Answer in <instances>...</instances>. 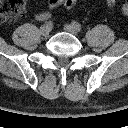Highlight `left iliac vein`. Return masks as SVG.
<instances>
[{
	"instance_id": "left-iliac-vein-1",
	"label": "left iliac vein",
	"mask_w": 128,
	"mask_h": 128,
	"mask_svg": "<svg viewBox=\"0 0 128 128\" xmlns=\"http://www.w3.org/2000/svg\"><path fill=\"white\" fill-rule=\"evenodd\" d=\"M64 30L67 31V32H69V33H72L74 35H77L78 34V31L71 24L64 25Z\"/></svg>"
}]
</instances>
